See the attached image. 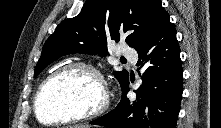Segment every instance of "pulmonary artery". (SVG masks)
<instances>
[{"label":"pulmonary artery","instance_id":"e3ab8cb5","mask_svg":"<svg viewBox=\"0 0 221 128\" xmlns=\"http://www.w3.org/2000/svg\"><path fill=\"white\" fill-rule=\"evenodd\" d=\"M120 53L125 57H128L133 63H136L138 60V55L132 49L129 48H122Z\"/></svg>","mask_w":221,"mask_h":128}]
</instances>
